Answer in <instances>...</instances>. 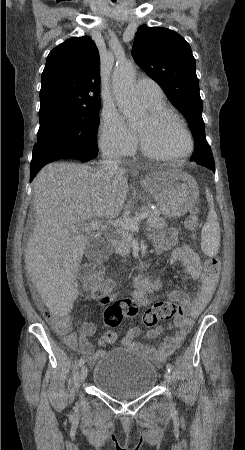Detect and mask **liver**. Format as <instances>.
<instances>
[{"instance_id":"liver-1","label":"liver","mask_w":245,"mask_h":450,"mask_svg":"<svg viewBox=\"0 0 245 450\" xmlns=\"http://www.w3.org/2000/svg\"><path fill=\"white\" fill-rule=\"evenodd\" d=\"M72 163H50L33 181L35 227L26 270L51 313L65 315L78 295L76 275L88 238L70 226L117 217L128 192L125 170L114 173Z\"/></svg>"}]
</instances>
